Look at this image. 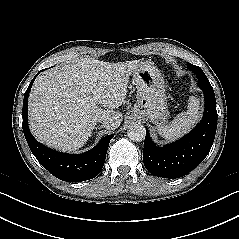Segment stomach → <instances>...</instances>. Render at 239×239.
Wrapping results in <instances>:
<instances>
[{
    "label": "stomach",
    "mask_w": 239,
    "mask_h": 239,
    "mask_svg": "<svg viewBox=\"0 0 239 239\" xmlns=\"http://www.w3.org/2000/svg\"><path fill=\"white\" fill-rule=\"evenodd\" d=\"M132 76L138 92L132 116L146 117L157 126L164 124L169 116V110L161 73L153 65L143 62L138 64Z\"/></svg>",
    "instance_id": "stomach-1"
}]
</instances>
